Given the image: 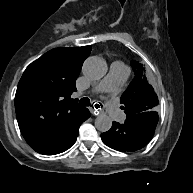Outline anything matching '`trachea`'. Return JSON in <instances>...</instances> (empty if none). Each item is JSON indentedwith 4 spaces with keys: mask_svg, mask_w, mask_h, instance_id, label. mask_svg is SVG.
Returning a JSON list of instances; mask_svg holds the SVG:
<instances>
[{
    "mask_svg": "<svg viewBox=\"0 0 193 193\" xmlns=\"http://www.w3.org/2000/svg\"><path fill=\"white\" fill-rule=\"evenodd\" d=\"M79 104L82 106H89L90 105V99L87 97H83L79 100ZM102 104H95V108H100Z\"/></svg>",
    "mask_w": 193,
    "mask_h": 193,
    "instance_id": "obj_1",
    "label": "trachea"
}]
</instances>
